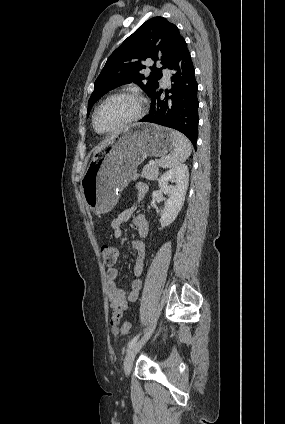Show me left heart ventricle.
I'll use <instances>...</instances> for the list:
<instances>
[{"label":"left heart ventricle","mask_w":285,"mask_h":424,"mask_svg":"<svg viewBox=\"0 0 285 424\" xmlns=\"http://www.w3.org/2000/svg\"><path fill=\"white\" fill-rule=\"evenodd\" d=\"M138 110V102L131 97H117L108 101L97 113L95 126L99 131L116 127L132 117Z\"/></svg>","instance_id":"obj_1"}]
</instances>
